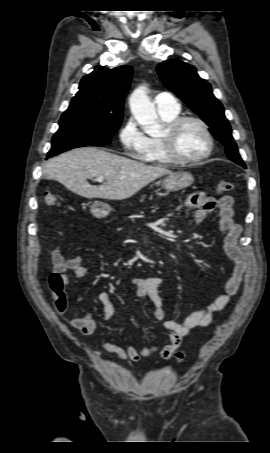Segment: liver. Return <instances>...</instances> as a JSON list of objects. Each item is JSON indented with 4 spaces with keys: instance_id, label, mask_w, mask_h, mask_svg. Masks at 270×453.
I'll use <instances>...</instances> for the list:
<instances>
[{
    "instance_id": "6515ba94",
    "label": "liver",
    "mask_w": 270,
    "mask_h": 453,
    "mask_svg": "<svg viewBox=\"0 0 270 453\" xmlns=\"http://www.w3.org/2000/svg\"><path fill=\"white\" fill-rule=\"evenodd\" d=\"M43 172L79 196L108 200L127 199L157 178L171 173L164 166L147 165L95 147L62 153L50 159ZM93 177H103L106 181L92 186L87 179Z\"/></svg>"
}]
</instances>
